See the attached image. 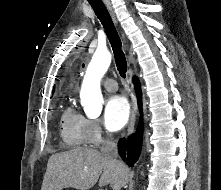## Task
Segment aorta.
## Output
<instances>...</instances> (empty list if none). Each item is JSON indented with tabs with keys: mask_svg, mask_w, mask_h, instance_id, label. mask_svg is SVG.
Masks as SVG:
<instances>
[{
	"mask_svg": "<svg viewBox=\"0 0 221 190\" xmlns=\"http://www.w3.org/2000/svg\"><path fill=\"white\" fill-rule=\"evenodd\" d=\"M111 63L108 50H97L88 65L81 87L80 98L86 115L96 118L101 114L103 97L100 82Z\"/></svg>",
	"mask_w": 221,
	"mask_h": 190,
	"instance_id": "obj_1",
	"label": "aorta"
}]
</instances>
